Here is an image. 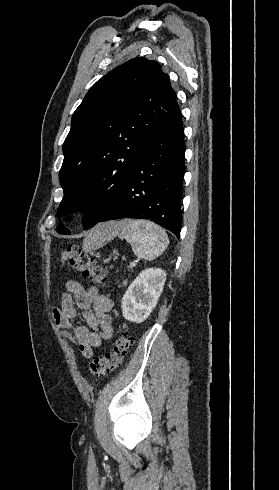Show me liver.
Returning <instances> with one entry per match:
<instances>
[{
    "label": "liver",
    "mask_w": 279,
    "mask_h": 490,
    "mask_svg": "<svg viewBox=\"0 0 279 490\" xmlns=\"http://www.w3.org/2000/svg\"><path fill=\"white\" fill-rule=\"evenodd\" d=\"M119 230V222H107V224H100V226H96L93 232L85 238L84 250L85 252H90V250H95V234H97L98 238H101L103 234H108V236H116Z\"/></svg>",
    "instance_id": "obj_1"
}]
</instances>
